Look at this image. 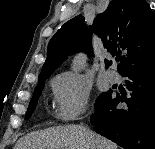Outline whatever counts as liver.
I'll return each instance as SVG.
<instances>
[{
	"mask_svg": "<svg viewBox=\"0 0 155 149\" xmlns=\"http://www.w3.org/2000/svg\"><path fill=\"white\" fill-rule=\"evenodd\" d=\"M105 137L81 126L66 125L34 131L20 138L14 149H117Z\"/></svg>",
	"mask_w": 155,
	"mask_h": 149,
	"instance_id": "obj_1",
	"label": "liver"
}]
</instances>
